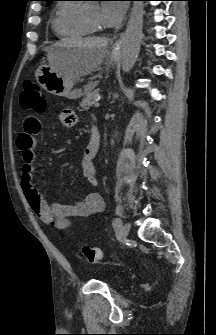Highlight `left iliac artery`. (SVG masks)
<instances>
[{
  "instance_id": "obj_1",
  "label": "left iliac artery",
  "mask_w": 216,
  "mask_h": 335,
  "mask_svg": "<svg viewBox=\"0 0 216 335\" xmlns=\"http://www.w3.org/2000/svg\"><path fill=\"white\" fill-rule=\"evenodd\" d=\"M121 225H122V221H121L119 218H117V219H115V220L113 221V227H114L115 229L120 228Z\"/></svg>"
}]
</instances>
